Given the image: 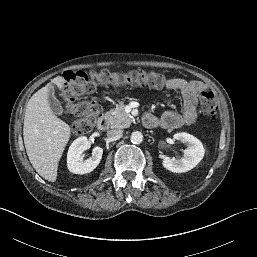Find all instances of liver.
Wrapping results in <instances>:
<instances>
[{"label":"liver","mask_w":257,"mask_h":257,"mask_svg":"<svg viewBox=\"0 0 257 257\" xmlns=\"http://www.w3.org/2000/svg\"><path fill=\"white\" fill-rule=\"evenodd\" d=\"M65 80L57 76L51 83L38 90L27 103L24 117L23 138L29 160L44 179L55 182L58 163L71 136V128L55 116L48 102L52 84L59 90Z\"/></svg>","instance_id":"6515ba94"}]
</instances>
